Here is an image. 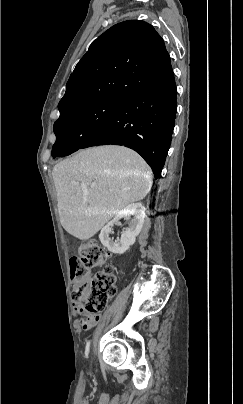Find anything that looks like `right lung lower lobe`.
Listing matches in <instances>:
<instances>
[{
	"label": "right lung lower lobe",
	"mask_w": 243,
	"mask_h": 404,
	"mask_svg": "<svg viewBox=\"0 0 243 404\" xmlns=\"http://www.w3.org/2000/svg\"><path fill=\"white\" fill-rule=\"evenodd\" d=\"M176 111L177 89L172 72L158 84L128 97L81 149L124 145L138 152L152 168L155 178H160L171 144Z\"/></svg>",
	"instance_id": "1"
}]
</instances>
